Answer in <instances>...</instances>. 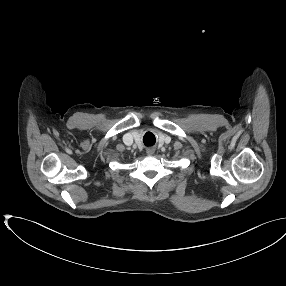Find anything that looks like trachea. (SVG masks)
<instances>
[{
  "instance_id": "trachea-1",
  "label": "trachea",
  "mask_w": 286,
  "mask_h": 286,
  "mask_svg": "<svg viewBox=\"0 0 286 286\" xmlns=\"http://www.w3.org/2000/svg\"><path fill=\"white\" fill-rule=\"evenodd\" d=\"M143 141H144V144H145L146 146H152V145L154 144V141H153V140L147 139V134L144 136Z\"/></svg>"
}]
</instances>
